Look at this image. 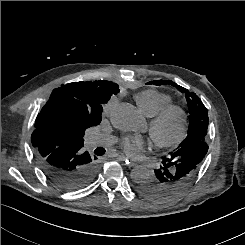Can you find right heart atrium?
Here are the masks:
<instances>
[{
    "mask_svg": "<svg viewBox=\"0 0 245 245\" xmlns=\"http://www.w3.org/2000/svg\"><path fill=\"white\" fill-rule=\"evenodd\" d=\"M115 104H116V100L112 99L106 108V112L109 113L113 109Z\"/></svg>",
    "mask_w": 245,
    "mask_h": 245,
    "instance_id": "obj_1",
    "label": "right heart atrium"
}]
</instances>
